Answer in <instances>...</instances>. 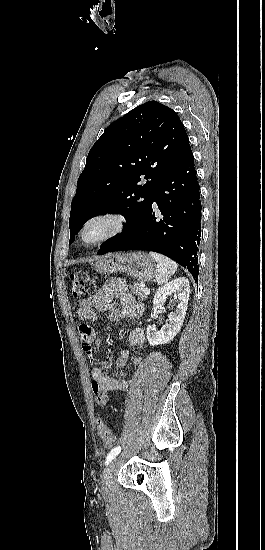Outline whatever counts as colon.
Listing matches in <instances>:
<instances>
[{
  "mask_svg": "<svg viewBox=\"0 0 265 550\" xmlns=\"http://www.w3.org/2000/svg\"><path fill=\"white\" fill-rule=\"evenodd\" d=\"M69 283L72 295L80 298L94 293L96 289L95 280L84 270L75 269L69 273ZM93 395L98 405L105 406L108 402V396L101 391L96 385L93 386ZM99 437L106 445H111L114 442V434L107 423L99 418L96 421Z\"/></svg>",
  "mask_w": 265,
  "mask_h": 550,
  "instance_id": "colon-1",
  "label": "colon"
}]
</instances>
